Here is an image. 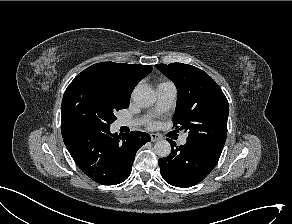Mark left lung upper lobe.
<instances>
[{
    "label": "left lung upper lobe",
    "instance_id": "1",
    "mask_svg": "<svg viewBox=\"0 0 292 224\" xmlns=\"http://www.w3.org/2000/svg\"><path fill=\"white\" fill-rule=\"evenodd\" d=\"M155 66L174 82L178 91L174 126L188 132L187 141L222 152L229 105L217 83L206 72L191 65Z\"/></svg>",
    "mask_w": 292,
    "mask_h": 224
}]
</instances>
